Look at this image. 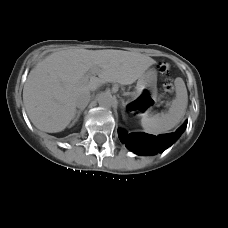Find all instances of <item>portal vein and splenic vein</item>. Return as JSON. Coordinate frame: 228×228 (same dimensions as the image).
Listing matches in <instances>:
<instances>
[{
	"instance_id": "1",
	"label": "portal vein and splenic vein",
	"mask_w": 228,
	"mask_h": 228,
	"mask_svg": "<svg viewBox=\"0 0 228 228\" xmlns=\"http://www.w3.org/2000/svg\"><path fill=\"white\" fill-rule=\"evenodd\" d=\"M93 74H94L93 72H90L88 75H86V76L84 77V81H88L89 79H90L91 81L95 80L96 77L92 76Z\"/></svg>"
}]
</instances>
